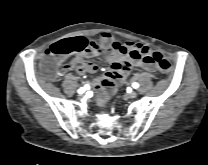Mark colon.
<instances>
[{
    "instance_id": "5ec220e1",
    "label": "colon",
    "mask_w": 208,
    "mask_h": 165,
    "mask_svg": "<svg viewBox=\"0 0 208 165\" xmlns=\"http://www.w3.org/2000/svg\"><path fill=\"white\" fill-rule=\"evenodd\" d=\"M88 46V42L84 38L73 37L54 43L47 51V55L41 63L43 75L48 80H55L59 74V59L62 57L78 54L84 51ZM143 59L146 62L156 65L159 70L169 75L171 72L170 62L159 52L145 51Z\"/></svg>"
}]
</instances>
